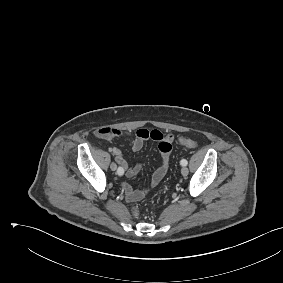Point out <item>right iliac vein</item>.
<instances>
[{"label": "right iliac vein", "mask_w": 283, "mask_h": 283, "mask_svg": "<svg viewBox=\"0 0 283 283\" xmlns=\"http://www.w3.org/2000/svg\"><path fill=\"white\" fill-rule=\"evenodd\" d=\"M110 168L112 171H116L117 165L115 163H111Z\"/></svg>", "instance_id": "right-iliac-vein-1"}]
</instances>
